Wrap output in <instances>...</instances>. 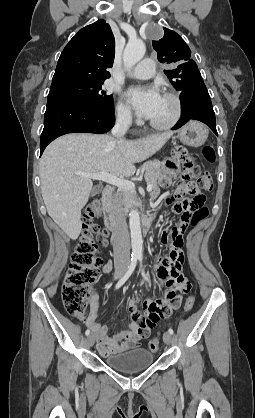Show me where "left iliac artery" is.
Instances as JSON below:
<instances>
[{
  "mask_svg": "<svg viewBox=\"0 0 255 418\" xmlns=\"http://www.w3.org/2000/svg\"><path fill=\"white\" fill-rule=\"evenodd\" d=\"M138 259H139V261H140L141 274H142L143 278H144L146 281L150 282L149 277H148V275L145 273V271H144V269H143V266H142V256H139V257H138ZM168 332H169L171 335H173V333H174V331H173V329H172V328H169Z\"/></svg>",
  "mask_w": 255,
  "mask_h": 418,
  "instance_id": "left-iliac-artery-1",
  "label": "left iliac artery"
}]
</instances>
